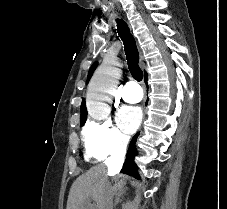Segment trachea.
<instances>
[{
    "label": "trachea",
    "mask_w": 227,
    "mask_h": 209,
    "mask_svg": "<svg viewBox=\"0 0 227 209\" xmlns=\"http://www.w3.org/2000/svg\"><path fill=\"white\" fill-rule=\"evenodd\" d=\"M117 32L124 43L128 69L132 77L140 82L143 78V72L139 67V52L127 23L122 19H117Z\"/></svg>",
    "instance_id": "3493384b"
}]
</instances>
